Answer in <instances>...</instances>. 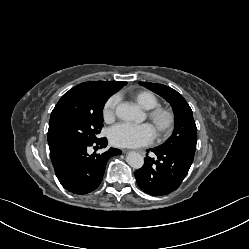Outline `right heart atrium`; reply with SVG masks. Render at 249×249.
Here are the masks:
<instances>
[{
	"mask_svg": "<svg viewBox=\"0 0 249 249\" xmlns=\"http://www.w3.org/2000/svg\"><path fill=\"white\" fill-rule=\"evenodd\" d=\"M117 104V96H112L106 101L103 107V117L105 120L110 121L114 118Z\"/></svg>",
	"mask_w": 249,
	"mask_h": 249,
	"instance_id": "d8ad5b80",
	"label": "right heart atrium"
}]
</instances>
